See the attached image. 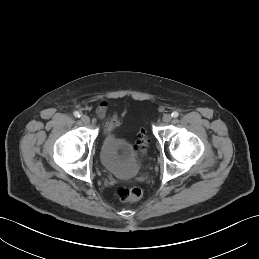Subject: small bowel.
<instances>
[{
    "label": "small bowel",
    "mask_w": 259,
    "mask_h": 259,
    "mask_svg": "<svg viewBox=\"0 0 259 259\" xmlns=\"http://www.w3.org/2000/svg\"><path fill=\"white\" fill-rule=\"evenodd\" d=\"M107 109H108L107 102L106 101L100 102L97 108V115L100 119L107 117ZM119 123H120V117L118 114H114L108 117L104 124V132L106 134L113 133L115 129L119 126Z\"/></svg>",
    "instance_id": "1"
}]
</instances>
